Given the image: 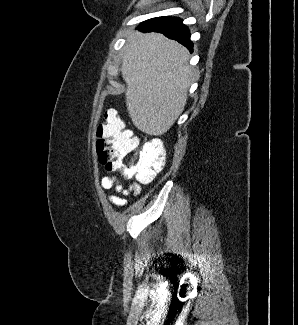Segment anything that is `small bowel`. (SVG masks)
<instances>
[{"mask_svg": "<svg viewBox=\"0 0 298 325\" xmlns=\"http://www.w3.org/2000/svg\"><path fill=\"white\" fill-rule=\"evenodd\" d=\"M101 186L104 189H114L115 193L109 195V201L117 207L126 205V197L129 195L138 196L141 193L139 184H131L129 187L122 186L114 177L103 176L101 178Z\"/></svg>", "mask_w": 298, "mask_h": 325, "instance_id": "obj_1", "label": "small bowel"}]
</instances>
